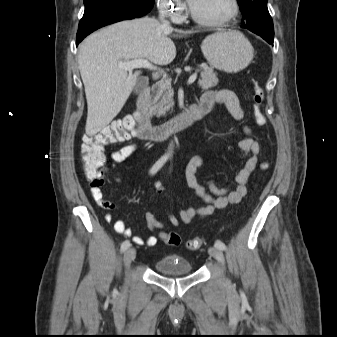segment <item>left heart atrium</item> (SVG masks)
Instances as JSON below:
<instances>
[{"label":"left heart atrium","instance_id":"1","mask_svg":"<svg viewBox=\"0 0 337 337\" xmlns=\"http://www.w3.org/2000/svg\"><path fill=\"white\" fill-rule=\"evenodd\" d=\"M190 5L194 4L196 0H188Z\"/></svg>","mask_w":337,"mask_h":337}]
</instances>
